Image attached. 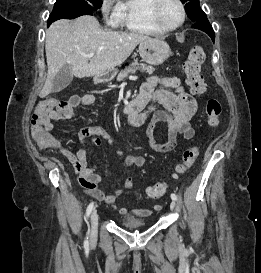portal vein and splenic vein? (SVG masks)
Masks as SVG:
<instances>
[{"label":"portal vein and splenic vein","mask_w":261,"mask_h":273,"mask_svg":"<svg viewBox=\"0 0 261 273\" xmlns=\"http://www.w3.org/2000/svg\"><path fill=\"white\" fill-rule=\"evenodd\" d=\"M100 50H102V48H100ZM95 55V53H90L87 55L88 58H92ZM129 79L131 80H136L137 77L136 76H130Z\"/></svg>","instance_id":"1"}]
</instances>
